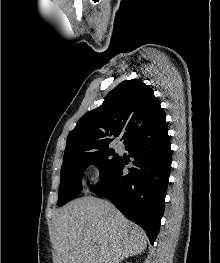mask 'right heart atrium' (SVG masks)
<instances>
[{"mask_svg":"<svg viewBox=\"0 0 220 263\" xmlns=\"http://www.w3.org/2000/svg\"><path fill=\"white\" fill-rule=\"evenodd\" d=\"M89 172L92 183L96 184L101 180L103 171L99 163L93 162L89 167Z\"/></svg>","mask_w":220,"mask_h":263,"instance_id":"1","label":"right heart atrium"}]
</instances>
